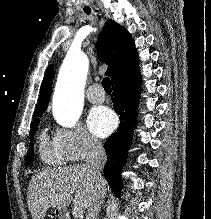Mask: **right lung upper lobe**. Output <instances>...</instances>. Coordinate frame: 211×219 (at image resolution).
<instances>
[{
  "label": "right lung upper lobe",
  "instance_id": "obj_1",
  "mask_svg": "<svg viewBox=\"0 0 211 219\" xmlns=\"http://www.w3.org/2000/svg\"><path fill=\"white\" fill-rule=\"evenodd\" d=\"M98 56L101 62L108 65L106 75L111 81L118 75L139 64L134 41L130 33L113 20H108L98 38ZM54 68L50 65L41 85L36 114H42L50 98Z\"/></svg>",
  "mask_w": 211,
  "mask_h": 219
}]
</instances>
